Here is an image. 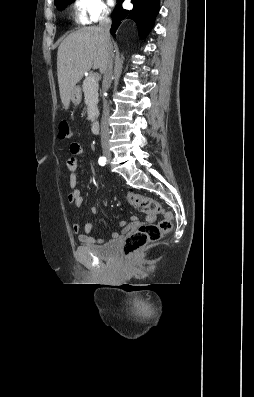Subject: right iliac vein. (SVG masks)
<instances>
[{"label":"right iliac vein","mask_w":254,"mask_h":397,"mask_svg":"<svg viewBox=\"0 0 254 397\" xmlns=\"http://www.w3.org/2000/svg\"><path fill=\"white\" fill-rule=\"evenodd\" d=\"M106 156H107V158H110V155H109V154H106Z\"/></svg>","instance_id":"right-iliac-vein-1"}]
</instances>
